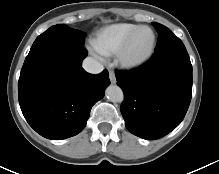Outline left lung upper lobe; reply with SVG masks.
I'll return each mask as SVG.
<instances>
[{
    "label": "left lung upper lobe",
    "mask_w": 219,
    "mask_h": 174,
    "mask_svg": "<svg viewBox=\"0 0 219 174\" xmlns=\"http://www.w3.org/2000/svg\"><path fill=\"white\" fill-rule=\"evenodd\" d=\"M158 33V42L155 52L162 51L168 48H185L182 41L176 37L172 31L159 23H152Z\"/></svg>",
    "instance_id": "1"
}]
</instances>
